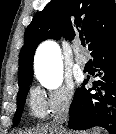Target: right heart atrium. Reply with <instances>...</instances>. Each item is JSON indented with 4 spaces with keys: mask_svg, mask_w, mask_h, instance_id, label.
I'll return each mask as SVG.
<instances>
[{
    "mask_svg": "<svg viewBox=\"0 0 116 134\" xmlns=\"http://www.w3.org/2000/svg\"><path fill=\"white\" fill-rule=\"evenodd\" d=\"M33 93L41 101L45 114L51 116L66 112L74 98V89L70 83L62 84L47 92L36 89Z\"/></svg>",
    "mask_w": 116,
    "mask_h": 134,
    "instance_id": "obj_1",
    "label": "right heart atrium"
}]
</instances>
